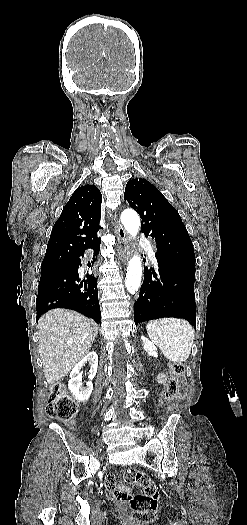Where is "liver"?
I'll use <instances>...</instances> for the list:
<instances>
[{
  "label": "liver",
  "instance_id": "obj_1",
  "mask_svg": "<svg viewBox=\"0 0 247 525\" xmlns=\"http://www.w3.org/2000/svg\"><path fill=\"white\" fill-rule=\"evenodd\" d=\"M38 329L44 377L54 385L88 355L99 327L76 311L51 309L40 317Z\"/></svg>",
  "mask_w": 247,
  "mask_h": 525
}]
</instances>
